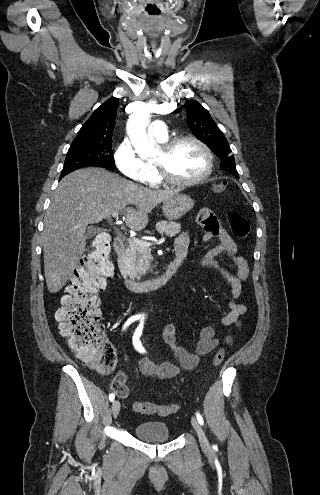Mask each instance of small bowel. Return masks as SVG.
<instances>
[{
  "instance_id": "small-bowel-1",
  "label": "small bowel",
  "mask_w": 320,
  "mask_h": 495,
  "mask_svg": "<svg viewBox=\"0 0 320 495\" xmlns=\"http://www.w3.org/2000/svg\"><path fill=\"white\" fill-rule=\"evenodd\" d=\"M198 222L203 227L202 241L204 243L212 240L218 241L215 247L205 253L200 265L217 270L231 288V299L228 303L229 312L221 318L220 324L225 327L240 326L241 317L247 311V307L245 304L238 303L237 300L242 293V282L249 275L247 261L238 254L237 243L228 233L222 221L210 209L200 211ZM189 242V233L184 231L177 237L175 249L179 252L185 251L187 253ZM220 254H225L231 259L234 272L216 261L215 258ZM176 333L177 325L171 322L164 326L161 335L164 342L172 349L178 365L172 363L156 364L148 357H142L139 360V369L143 375L168 379L177 376L182 369L192 370L199 365L201 357L211 353L221 342L215 337V329L212 325L202 329L200 337L195 342L192 350H188L177 343ZM223 341L230 343L232 338L227 336Z\"/></svg>"
}]
</instances>
